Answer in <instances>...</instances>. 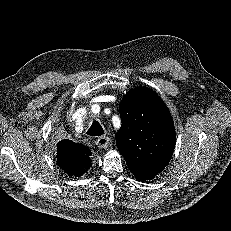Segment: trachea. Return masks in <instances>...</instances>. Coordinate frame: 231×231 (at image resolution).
<instances>
[{"label": "trachea", "mask_w": 231, "mask_h": 231, "mask_svg": "<svg viewBox=\"0 0 231 231\" xmlns=\"http://www.w3.org/2000/svg\"><path fill=\"white\" fill-rule=\"evenodd\" d=\"M86 134L89 136H95V137L101 136L104 134V130L98 121H93L92 125L90 126Z\"/></svg>", "instance_id": "obj_1"}]
</instances>
